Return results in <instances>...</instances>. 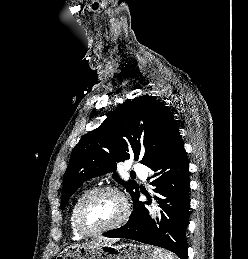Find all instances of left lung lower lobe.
Masks as SVG:
<instances>
[{
  "mask_svg": "<svg viewBox=\"0 0 248 259\" xmlns=\"http://www.w3.org/2000/svg\"><path fill=\"white\" fill-rule=\"evenodd\" d=\"M189 163L181 140L150 167L154 177L151 184L164 198L159 200L162 217L157 227L148 215L145 204L139 201V191L133 195L134 211L126 225L105 233L104 236L128 238L155 245L174 252L180 259L187 258L186 227L189 221Z\"/></svg>",
  "mask_w": 248,
  "mask_h": 259,
  "instance_id": "0a47b994",
  "label": "left lung lower lobe"
}]
</instances>
